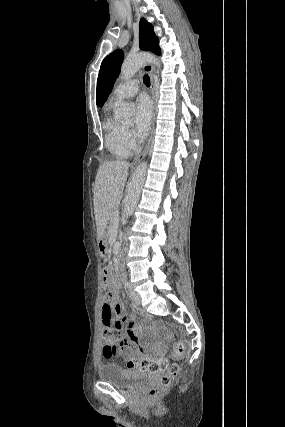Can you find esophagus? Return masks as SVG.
I'll use <instances>...</instances> for the list:
<instances>
[{"mask_svg":"<svg viewBox=\"0 0 285 427\" xmlns=\"http://www.w3.org/2000/svg\"><path fill=\"white\" fill-rule=\"evenodd\" d=\"M144 71L147 72L151 79V97L153 100V111H152V124H151V131H150V137L148 139V142L144 148V150L133 160L132 165L137 166L147 155L151 141L153 138L154 130H155V117H156V82H155V76H154V68L152 64L146 63L143 67Z\"/></svg>","mask_w":285,"mask_h":427,"instance_id":"1","label":"esophagus"}]
</instances>
